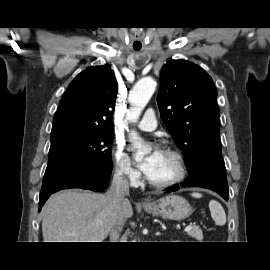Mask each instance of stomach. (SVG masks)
<instances>
[{
	"label": "stomach",
	"instance_id": "1",
	"mask_svg": "<svg viewBox=\"0 0 270 270\" xmlns=\"http://www.w3.org/2000/svg\"><path fill=\"white\" fill-rule=\"evenodd\" d=\"M144 210L171 220H183L193 212L185 198L173 194L162 197L149 206H144Z\"/></svg>",
	"mask_w": 270,
	"mask_h": 270
}]
</instances>
